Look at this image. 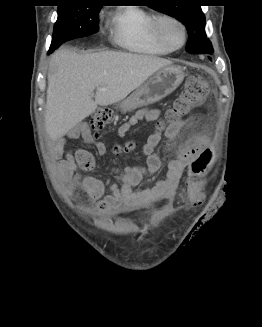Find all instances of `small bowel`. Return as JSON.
<instances>
[{
  "mask_svg": "<svg viewBox=\"0 0 262 327\" xmlns=\"http://www.w3.org/2000/svg\"><path fill=\"white\" fill-rule=\"evenodd\" d=\"M160 116L159 109L139 110L120 126L118 135L124 137L129 129L138 122H152L159 119ZM183 128L184 122H174L166 130H154L141 148L145 157L144 165L113 169L119 184L108 180L104 181L86 173L75 174L77 168L91 171L95 167L93 155L85 149L69 152L64 158H61L62 149H57L55 152L58 159L57 174L61 179L69 181L72 186L83 190L88 199L96 203V210L101 214H108L115 210L128 212L161 200H169L175 196L184 174L187 173L186 165H206L198 164L195 157L196 153H206L203 138H186L178 147L177 157L168 164L163 177L154 186L138 191H135L134 187L139 185L145 177L155 174L160 169L162 161L158 150L162 137L165 136L168 140L173 141ZM79 136L87 144L94 146L99 155L106 154V145L92 136L87 124L83 123L77 128L71 129L66 137ZM188 177L191 179L193 176L190 174ZM105 190H108L106 195H104ZM186 192L191 199V206L207 205V200L203 199L206 194L205 188H200L198 192L194 183H188Z\"/></svg>",
  "mask_w": 262,
  "mask_h": 327,
  "instance_id": "1",
  "label": "small bowel"
}]
</instances>
